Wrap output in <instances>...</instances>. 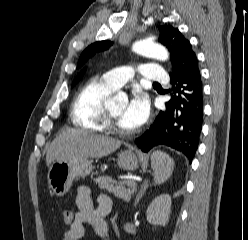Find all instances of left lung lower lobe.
Returning <instances> with one entry per match:
<instances>
[{
    "mask_svg": "<svg viewBox=\"0 0 248 240\" xmlns=\"http://www.w3.org/2000/svg\"><path fill=\"white\" fill-rule=\"evenodd\" d=\"M171 99L150 129L137 139L142 151L167 145L182 152L189 160L198 149L203 122V85L195 56L183 71L171 77Z\"/></svg>",
    "mask_w": 248,
    "mask_h": 240,
    "instance_id": "1",
    "label": "left lung lower lobe"
}]
</instances>
